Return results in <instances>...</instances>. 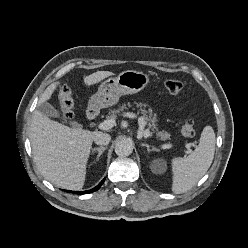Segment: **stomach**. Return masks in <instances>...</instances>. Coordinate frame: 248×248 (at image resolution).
<instances>
[{
    "mask_svg": "<svg viewBox=\"0 0 248 248\" xmlns=\"http://www.w3.org/2000/svg\"><path fill=\"white\" fill-rule=\"evenodd\" d=\"M150 82L149 75L135 70H126L118 76L104 81L98 91L91 96L89 107L94 110L107 108L118 103L121 95L134 94L144 89Z\"/></svg>",
    "mask_w": 248,
    "mask_h": 248,
    "instance_id": "1",
    "label": "stomach"
}]
</instances>
